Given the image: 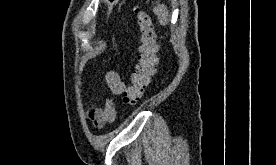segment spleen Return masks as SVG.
Listing matches in <instances>:
<instances>
[{
  "label": "spleen",
  "instance_id": "spleen-1",
  "mask_svg": "<svg viewBox=\"0 0 276 165\" xmlns=\"http://www.w3.org/2000/svg\"><path fill=\"white\" fill-rule=\"evenodd\" d=\"M153 12L158 16L159 23L165 26L169 21V11L164 4L157 2V6L153 8Z\"/></svg>",
  "mask_w": 276,
  "mask_h": 165
}]
</instances>
